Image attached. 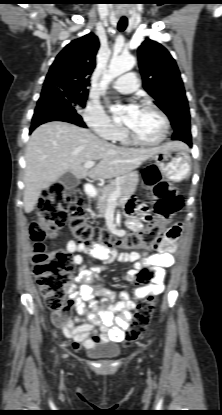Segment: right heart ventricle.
<instances>
[{
	"instance_id": "right-heart-ventricle-1",
	"label": "right heart ventricle",
	"mask_w": 222,
	"mask_h": 415,
	"mask_svg": "<svg viewBox=\"0 0 222 415\" xmlns=\"http://www.w3.org/2000/svg\"><path fill=\"white\" fill-rule=\"evenodd\" d=\"M115 140H118L124 144L129 143V140L127 139L126 135L124 134V131H121Z\"/></svg>"
}]
</instances>
